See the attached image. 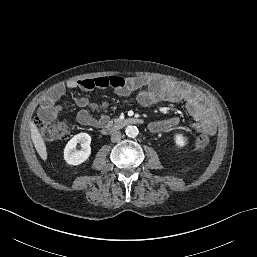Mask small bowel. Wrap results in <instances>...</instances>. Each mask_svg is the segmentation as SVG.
Instances as JSON below:
<instances>
[{"label": "small bowel", "instance_id": "1", "mask_svg": "<svg viewBox=\"0 0 257 257\" xmlns=\"http://www.w3.org/2000/svg\"><path fill=\"white\" fill-rule=\"evenodd\" d=\"M81 89L89 91L95 88H112L124 99L129 98L136 92V102L139 106L148 107L158 102L166 101L171 103L185 102L186 109L190 116L195 120L191 126L196 131L209 130L210 134L215 131L214 121L209 107L204 98L189 87L176 82L158 81L144 77L123 78L120 76H102L82 80H69L64 84L56 86L42 100L40 112L43 115L55 116L60 107L56 104L57 99L62 96L67 89ZM80 110L76 114V120L79 124L90 127H101L108 116L102 111L107 104L104 101L91 102L86 97H79L76 100ZM90 111L100 112L98 117L91 114ZM179 123L177 117L154 121L149 129L153 133L166 132Z\"/></svg>", "mask_w": 257, "mask_h": 257}]
</instances>
